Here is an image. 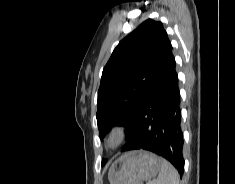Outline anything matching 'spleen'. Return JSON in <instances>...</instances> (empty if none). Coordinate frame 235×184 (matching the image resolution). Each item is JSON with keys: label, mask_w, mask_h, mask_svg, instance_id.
<instances>
[{"label": "spleen", "mask_w": 235, "mask_h": 184, "mask_svg": "<svg viewBox=\"0 0 235 184\" xmlns=\"http://www.w3.org/2000/svg\"><path fill=\"white\" fill-rule=\"evenodd\" d=\"M159 162L160 170L155 184H179V174L172 164L164 160V158H159Z\"/></svg>", "instance_id": "1"}]
</instances>
